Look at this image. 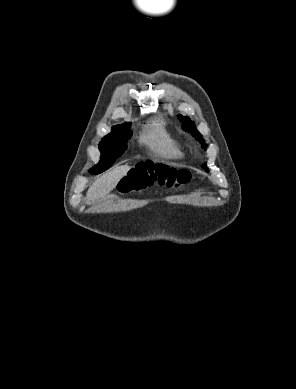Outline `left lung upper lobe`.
Wrapping results in <instances>:
<instances>
[{
    "mask_svg": "<svg viewBox=\"0 0 296 389\" xmlns=\"http://www.w3.org/2000/svg\"><path fill=\"white\" fill-rule=\"evenodd\" d=\"M178 119L183 123L182 129L191 133L193 137H195L200 143L203 144V148H206L207 145L205 144V141L202 137V135L197 131L195 124L193 121L190 120L189 117H184L182 115H178ZM202 167L208 172V168L206 164L202 165Z\"/></svg>",
    "mask_w": 296,
    "mask_h": 389,
    "instance_id": "left-lung-upper-lobe-1",
    "label": "left lung upper lobe"
}]
</instances>
